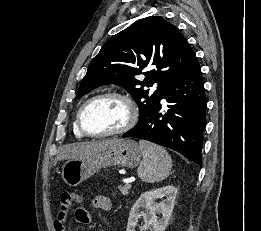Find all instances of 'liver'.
<instances>
[{
  "label": "liver",
  "mask_w": 261,
  "mask_h": 231,
  "mask_svg": "<svg viewBox=\"0 0 261 231\" xmlns=\"http://www.w3.org/2000/svg\"><path fill=\"white\" fill-rule=\"evenodd\" d=\"M119 141L120 140L114 139L67 145L62 149L59 155H57L54 164L56 165L58 161L64 159H83L94 154H98Z\"/></svg>",
  "instance_id": "1"
}]
</instances>
